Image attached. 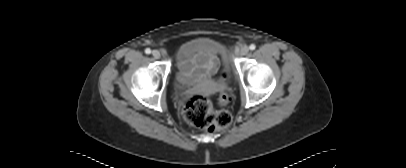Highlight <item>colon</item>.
I'll return each instance as SVG.
<instances>
[{
    "mask_svg": "<svg viewBox=\"0 0 406 168\" xmlns=\"http://www.w3.org/2000/svg\"><path fill=\"white\" fill-rule=\"evenodd\" d=\"M218 100L222 105L227 104L228 93L222 89ZM181 114L190 125L209 132L226 128L232 123L231 114L226 110H213L211 100L203 94H193L188 97L183 103Z\"/></svg>",
    "mask_w": 406,
    "mask_h": 168,
    "instance_id": "1",
    "label": "colon"
}]
</instances>
